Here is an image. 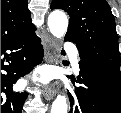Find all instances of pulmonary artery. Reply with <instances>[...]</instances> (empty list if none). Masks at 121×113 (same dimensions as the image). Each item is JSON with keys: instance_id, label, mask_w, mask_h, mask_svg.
Instances as JSON below:
<instances>
[{"instance_id": "pulmonary-artery-1", "label": "pulmonary artery", "mask_w": 121, "mask_h": 113, "mask_svg": "<svg viewBox=\"0 0 121 113\" xmlns=\"http://www.w3.org/2000/svg\"><path fill=\"white\" fill-rule=\"evenodd\" d=\"M69 52H70L71 57H72V68L75 71V73H79L80 67H79V63H78V59H77L76 47L74 45H70Z\"/></svg>"}]
</instances>
